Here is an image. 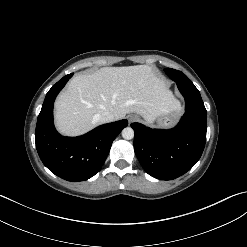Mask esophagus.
<instances>
[{
  "instance_id": "esophagus-1",
  "label": "esophagus",
  "mask_w": 247,
  "mask_h": 247,
  "mask_svg": "<svg viewBox=\"0 0 247 247\" xmlns=\"http://www.w3.org/2000/svg\"><path fill=\"white\" fill-rule=\"evenodd\" d=\"M137 120H138V117L136 115H129L128 116L129 123L135 122Z\"/></svg>"
}]
</instances>
